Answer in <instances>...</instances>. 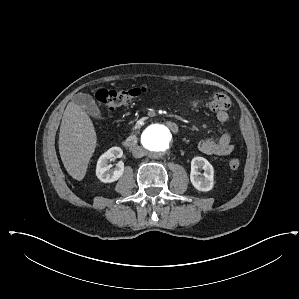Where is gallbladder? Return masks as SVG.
<instances>
[{"mask_svg": "<svg viewBox=\"0 0 299 299\" xmlns=\"http://www.w3.org/2000/svg\"><path fill=\"white\" fill-rule=\"evenodd\" d=\"M73 102L80 106L88 115L96 119H102L100 109L96 105L93 97L89 94L78 93L73 97Z\"/></svg>", "mask_w": 299, "mask_h": 299, "instance_id": "1", "label": "gallbladder"}]
</instances>
